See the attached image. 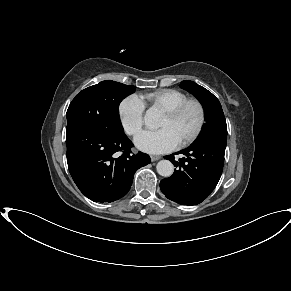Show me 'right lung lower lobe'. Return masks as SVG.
<instances>
[{"label":"right lung lower lobe","instance_id":"98d812e1","mask_svg":"<svg viewBox=\"0 0 291 291\" xmlns=\"http://www.w3.org/2000/svg\"><path fill=\"white\" fill-rule=\"evenodd\" d=\"M66 144L70 174L94 202H113L126 195L135 172L150 163L145 153L131 154L133 144L124 132L99 133L71 125L66 128Z\"/></svg>","mask_w":291,"mask_h":291}]
</instances>
